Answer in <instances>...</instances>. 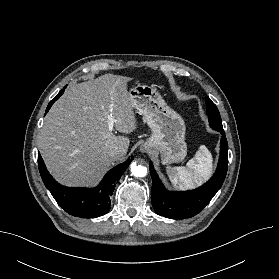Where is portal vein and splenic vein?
<instances>
[{
    "label": "portal vein and splenic vein",
    "mask_w": 279,
    "mask_h": 279,
    "mask_svg": "<svg viewBox=\"0 0 279 279\" xmlns=\"http://www.w3.org/2000/svg\"><path fill=\"white\" fill-rule=\"evenodd\" d=\"M116 122V120L112 117H108V128L109 131H113V127H114V123Z\"/></svg>",
    "instance_id": "18ae733b"
}]
</instances>
